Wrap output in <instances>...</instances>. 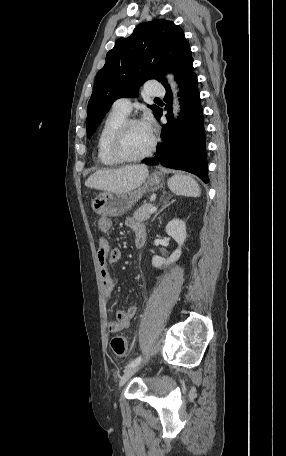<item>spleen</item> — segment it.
<instances>
[{
	"label": "spleen",
	"instance_id": "obj_1",
	"mask_svg": "<svg viewBox=\"0 0 286 456\" xmlns=\"http://www.w3.org/2000/svg\"><path fill=\"white\" fill-rule=\"evenodd\" d=\"M168 186L176 195L185 197H199L201 193L197 181L188 175H174L169 179Z\"/></svg>",
	"mask_w": 286,
	"mask_h": 456
}]
</instances>
